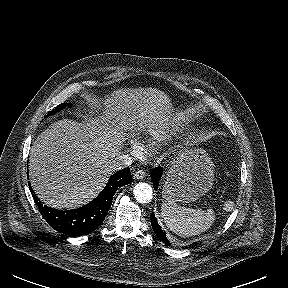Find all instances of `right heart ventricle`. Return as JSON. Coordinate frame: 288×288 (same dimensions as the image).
Masks as SVG:
<instances>
[{"label":"right heart ventricle","mask_w":288,"mask_h":288,"mask_svg":"<svg viewBox=\"0 0 288 288\" xmlns=\"http://www.w3.org/2000/svg\"><path fill=\"white\" fill-rule=\"evenodd\" d=\"M174 133V129L164 128L159 129L153 133V139L156 141H166L168 140Z\"/></svg>","instance_id":"1"}]
</instances>
